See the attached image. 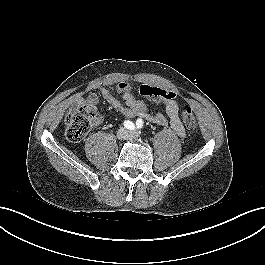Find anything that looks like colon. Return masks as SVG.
I'll use <instances>...</instances> for the list:
<instances>
[{
    "label": "colon",
    "instance_id": "1",
    "mask_svg": "<svg viewBox=\"0 0 265 265\" xmlns=\"http://www.w3.org/2000/svg\"><path fill=\"white\" fill-rule=\"evenodd\" d=\"M139 94L151 100L163 101L164 99L174 97V94L167 90L151 86L141 85ZM184 126L192 130L196 127V119L192 108L184 105L181 113ZM98 119V111L95 105L87 103L81 107L70 111L65 118L66 136L71 142H80L94 127Z\"/></svg>",
    "mask_w": 265,
    "mask_h": 265
}]
</instances>
